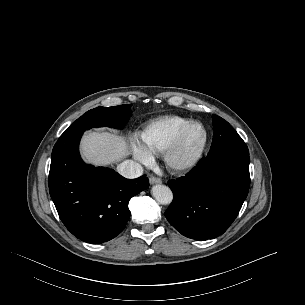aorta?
Returning <instances> with one entry per match:
<instances>
[{
	"instance_id": "762f6f07",
	"label": "aorta",
	"mask_w": 305,
	"mask_h": 305,
	"mask_svg": "<svg viewBox=\"0 0 305 305\" xmlns=\"http://www.w3.org/2000/svg\"><path fill=\"white\" fill-rule=\"evenodd\" d=\"M152 195L163 205L170 204L173 200V193L171 189L165 185H155L152 187Z\"/></svg>"
}]
</instances>
